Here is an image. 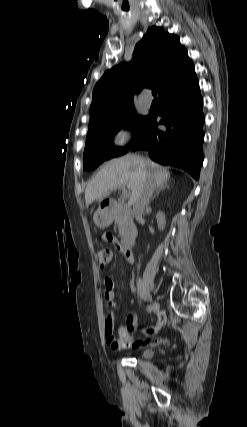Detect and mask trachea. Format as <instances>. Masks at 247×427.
<instances>
[{"label": "trachea", "mask_w": 247, "mask_h": 427, "mask_svg": "<svg viewBox=\"0 0 247 427\" xmlns=\"http://www.w3.org/2000/svg\"><path fill=\"white\" fill-rule=\"evenodd\" d=\"M152 94H153L154 97H156L157 92H156L155 89L152 90Z\"/></svg>", "instance_id": "obj_1"}]
</instances>
